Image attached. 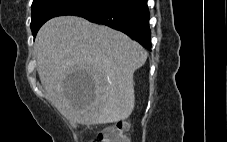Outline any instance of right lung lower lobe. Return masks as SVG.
Returning a JSON list of instances; mask_svg holds the SVG:
<instances>
[{"label": "right lung lower lobe", "instance_id": "98d812e1", "mask_svg": "<svg viewBox=\"0 0 227 142\" xmlns=\"http://www.w3.org/2000/svg\"><path fill=\"white\" fill-rule=\"evenodd\" d=\"M77 16L119 30L151 50L147 0H110Z\"/></svg>", "mask_w": 227, "mask_h": 142}]
</instances>
